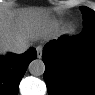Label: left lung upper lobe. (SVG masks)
Here are the masks:
<instances>
[{
	"label": "left lung upper lobe",
	"instance_id": "5c2ea615",
	"mask_svg": "<svg viewBox=\"0 0 95 95\" xmlns=\"http://www.w3.org/2000/svg\"><path fill=\"white\" fill-rule=\"evenodd\" d=\"M83 14L84 29L95 27V12L88 7H80Z\"/></svg>",
	"mask_w": 95,
	"mask_h": 95
}]
</instances>
